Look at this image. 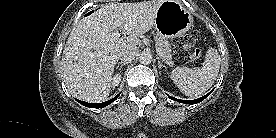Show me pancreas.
I'll return each instance as SVG.
<instances>
[{"label": "pancreas", "mask_w": 276, "mask_h": 138, "mask_svg": "<svg viewBox=\"0 0 276 138\" xmlns=\"http://www.w3.org/2000/svg\"><path fill=\"white\" fill-rule=\"evenodd\" d=\"M155 40H156V47L162 50V53H163L162 58L164 59V61L169 65H173L171 45L167 40V38L161 35H157L155 36Z\"/></svg>", "instance_id": "pancreas-1"}]
</instances>
